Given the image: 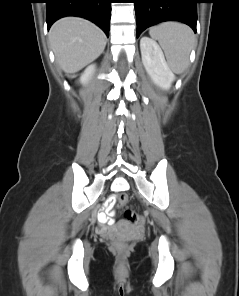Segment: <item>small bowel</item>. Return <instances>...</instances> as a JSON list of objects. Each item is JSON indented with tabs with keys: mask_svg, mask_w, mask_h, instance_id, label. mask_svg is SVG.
Masks as SVG:
<instances>
[{
	"mask_svg": "<svg viewBox=\"0 0 239 296\" xmlns=\"http://www.w3.org/2000/svg\"><path fill=\"white\" fill-rule=\"evenodd\" d=\"M114 210L112 203H109L106 207L104 212L99 213V218L107 223L113 221Z\"/></svg>",
	"mask_w": 239,
	"mask_h": 296,
	"instance_id": "obj_1",
	"label": "small bowel"
}]
</instances>
